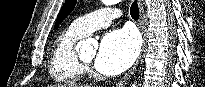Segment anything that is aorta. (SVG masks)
Wrapping results in <instances>:
<instances>
[{
	"label": "aorta",
	"mask_w": 205,
	"mask_h": 87,
	"mask_svg": "<svg viewBox=\"0 0 205 87\" xmlns=\"http://www.w3.org/2000/svg\"><path fill=\"white\" fill-rule=\"evenodd\" d=\"M103 4L105 5H113L119 2V0H102ZM91 44H93V41L91 39L83 40L80 42V45L82 47H89ZM132 87H135V85H132Z\"/></svg>",
	"instance_id": "aorta-1"
}]
</instances>
